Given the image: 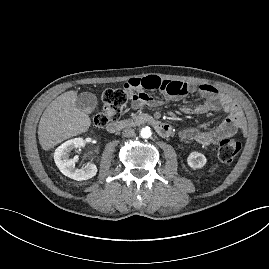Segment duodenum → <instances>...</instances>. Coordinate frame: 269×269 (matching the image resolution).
Returning a JSON list of instances; mask_svg holds the SVG:
<instances>
[{
    "label": "duodenum",
    "mask_w": 269,
    "mask_h": 269,
    "mask_svg": "<svg viewBox=\"0 0 269 269\" xmlns=\"http://www.w3.org/2000/svg\"><path fill=\"white\" fill-rule=\"evenodd\" d=\"M142 121L144 123H147V124L153 126L155 128V130L157 131V133L163 137H168L172 134V128L169 124L158 121L151 116L144 117L142 119ZM131 124H133V122L125 121V120L124 121H115V122H111L107 126V130L110 133H116V132H119L121 129H123Z\"/></svg>",
    "instance_id": "410a0bca"
}]
</instances>
